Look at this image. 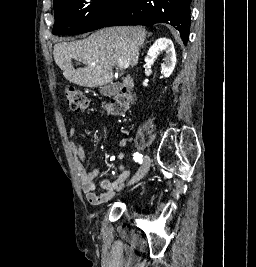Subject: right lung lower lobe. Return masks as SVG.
Here are the masks:
<instances>
[{
  "instance_id": "obj_1",
  "label": "right lung lower lobe",
  "mask_w": 256,
  "mask_h": 267,
  "mask_svg": "<svg viewBox=\"0 0 256 267\" xmlns=\"http://www.w3.org/2000/svg\"><path fill=\"white\" fill-rule=\"evenodd\" d=\"M192 0H133L123 14L103 27L116 25H153L167 23L174 26L187 44L190 30Z\"/></svg>"
}]
</instances>
